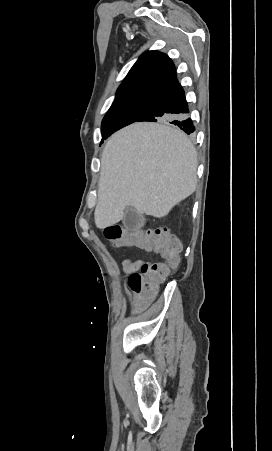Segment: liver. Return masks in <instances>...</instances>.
<instances>
[{
    "label": "liver",
    "mask_w": 272,
    "mask_h": 451,
    "mask_svg": "<svg viewBox=\"0 0 272 451\" xmlns=\"http://www.w3.org/2000/svg\"><path fill=\"white\" fill-rule=\"evenodd\" d=\"M197 152L188 136L166 124H132L113 134L102 152L97 227L120 222L127 206L154 218L195 192Z\"/></svg>",
    "instance_id": "1"
}]
</instances>
